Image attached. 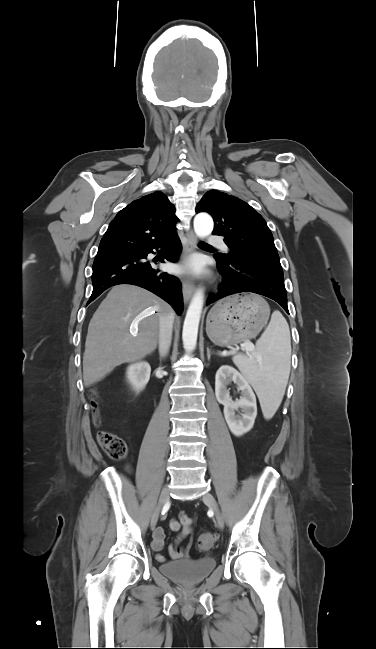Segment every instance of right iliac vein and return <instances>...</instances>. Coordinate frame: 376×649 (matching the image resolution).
Returning a JSON list of instances; mask_svg holds the SVG:
<instances>
[{"label":"right iliac vein","instance_id":"1","mask_svg":"<svg viewBox=\"0 0 376 649\" xmlns=\"http://www.w3.org/2000/svg\"><path fill=\"white\" fill-rule=\"evenodd\" d=\"M168 500H169V489H168V487H164L162 489V491H161L158 504H157V506H156V508H155V510H154V512L152 514V517H151V523L150 524H151L152 529L155 528V526L157 524V521H158V518H159L160 511H161L162 507L168 502Z\"/></svg>","mask_w":376,"mask_h":649}]
</instances>
